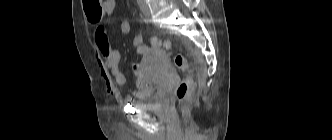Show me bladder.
<instances>
[{"label": "bladder", "mask_w": 332, "mask_h": 140, "mask_svg": "<svg viewBox=\"0 0 332 140\" xmlns=\"http://www.w3.org/2000/svg\"><path fill=\"white\" fill-rule=\"evenodd\" d=\"M164 103V95L150 87V93L141 99L131 101V104L141 110L158 111Z\"/></svg>", "instance_id": "1"}]
</instances>
